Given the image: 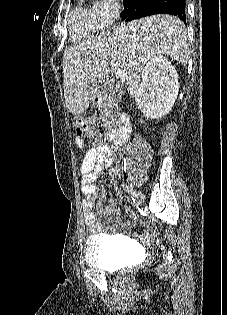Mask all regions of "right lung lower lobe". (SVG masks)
I'll return each instance as SVG.
<instances>
[{
	"label": "right lung lower lobe",
	"instance_id": "obj_1",
	"mask_svg": "<svg viewBox=\"0 0 227 315\" xmlns=\"http://www.w3.org/2000/svg\"><path fill=\"white\" fill-rule=\"evenodd\" d=\"M124 9L121 18L128 22L154 14H170L184 22L185 0H123Z\"/></svg>",
	"mask_w": 227,
	"mask_h": 315
}]
</instances>
